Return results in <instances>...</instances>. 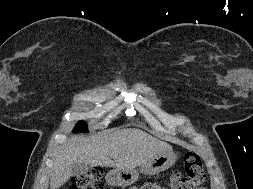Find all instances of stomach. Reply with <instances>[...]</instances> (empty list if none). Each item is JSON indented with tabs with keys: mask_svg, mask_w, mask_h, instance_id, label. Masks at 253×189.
Here are the masks:
<instances>
[{
	"mask_svg": "<svg viewBox=\"0 0 253 189\" xmlns=\"http://www.w3.org/2000/svg\"><path fill=\"white\" fill-rule=\"evenodd\" d=\"M176 154L171 152H164L156 155L151 160L141 165L140 172L145 175H155L161 171L172 167L176 162ZM139 178V171L131 170H112L106 175V181L113 186H129L135 183Z\"/></svg>",
	"mask_w": 253,
	"mask_h": 189,
	"instance_id": "0dacf381",
	"label": "stomach"
}]
</instances>
